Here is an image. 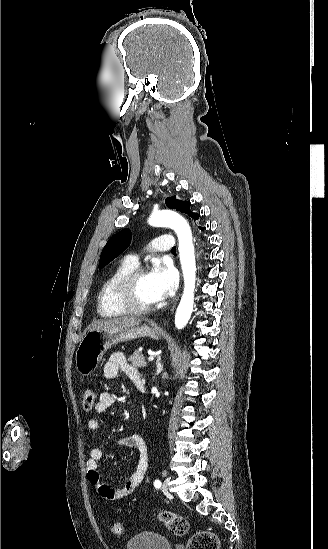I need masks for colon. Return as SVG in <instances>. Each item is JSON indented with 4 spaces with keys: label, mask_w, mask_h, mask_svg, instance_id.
Here are the masks:
<instances>
[{
    "label": "colon",
    "mask_w": 328,
    "mask_h": 549,
    "mask_svg": "<svg viewBox=\"0 0 328 549\" xmlns=\"http://www.w3.org/2000/svg\"><path fill=\"white\" fill-rule=\"evenodd\" d=\"M96 393L92 389H86L82 395V406L86 411L95 406ZM158 520L164 523L169 531L176 536H184L190 531V523L186 518L173 512L163 511L159 513ZM112 533L120 535L123 532V526L119 522H114L110 526ZM218 537L210 531H200L195 533L188 541L186 549H218Z\"/></svg>",
    "instance_id": "obj_1"
}]
</instances>
